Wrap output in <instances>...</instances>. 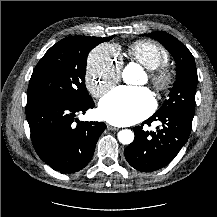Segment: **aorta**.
<instances>
[{
    "label": "aorta",
    "instance_id": "1",
    "mask_svg": "<svg viewBox=\"0 0 217 217\" xmlns=\"http://www.w3.org/2000/svg\"><path fill=\"white\" fill-rule=\"evenodd\" d=\"M140 72L139 65L135 63L128 64L122 73L123 81L127 84H136ZM118 140L124 145L131 144L134 140V133L129 129L121 130L118 133Z\"/></svg>",
    "mask_w": 217,
    "mask_h": 217
}]
</instances>
